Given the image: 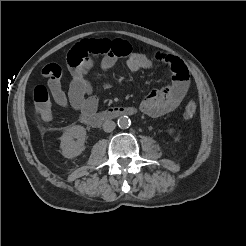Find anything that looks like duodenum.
<instances>
[{
	"label": "duodenum",
	"instance_id": "410a0bca",
	"mask_svg": "<svg viewBox=\"0 0 246 246\" xmlns=\"http://www.w3.org/2000/svg\"><path fill=\"white\" fill-rule=\"evenodd\" d=\"M136 113V109L130 106L109 107L106 110L81 115V121L93 128L100 127L104 122L121 117L132 116Z\"/></svg>",
	"mask_w": 246,
	"mask_h": 246
}]
</instances>
